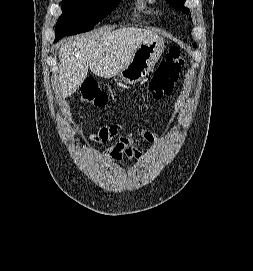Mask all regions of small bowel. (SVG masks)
Masks as SVG:
<instances>
[{
    "instance_id": "1",
    "label": "small bowel",
    "mask_w": 253,
    "mask_h": 271,
    "mask_svg": "<svg viewBox=\"0 0 253 271\" xmlns=\"http://www.w3.org/2000/svg\"><path fill=\"white\" fill-rule=\"evenodd\" d=\"M119 136L107 150L106 157L111 162H120L123 158L130 160H143V152L136 147L133 131H125L123 127L113 121H106L105 124L97 129L95 139L100 142L109 141L114 136ZM141 135L148 142H159L161 136L153 131L142 130Z\"/></svg>"
}]
</instances>
